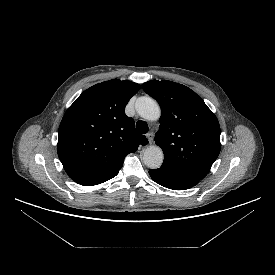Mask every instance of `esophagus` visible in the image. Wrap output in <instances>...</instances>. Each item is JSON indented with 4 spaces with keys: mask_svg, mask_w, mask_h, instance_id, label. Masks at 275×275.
I'll use <instances>...</instances> for the list:
<instances>
[{
    "mask_svg": "<svg viewBox=\"0 0 275 275\" xmlns=\"http://www.w3.org/2000/svg\"><path fill=\"white\" fill-rule=\"evenodd\" d=\"M146 137H147V139H148V143H149V144H152V143H153V138H154L153 133H152V132L147 133V134H146Z\"/></svg>",
    "mask_w": 275,
    "mask_h": 275,
    "instance_id": "esophagus-1",
    "label": "esophagus"
}]
</instances>
